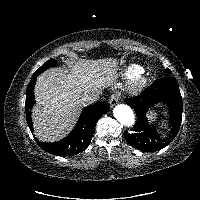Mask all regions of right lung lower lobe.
<instances>
[{"mask_svg": "<svg viewBox=\"0 0 200 200\" xmlns=\"http://www.w3.org/2000/svg\"><path fill=\"white\" fill-rule=\"evenodd\" d=\"M36 78H31L26 90L25 110L27 123L31 132H33L31 109L35 104L34 86ZM109 110L110 106L107 103L90 105L83 110L75 128L66 138L55 143H42L36 140L37 144L44 151L59 156H72L80 153L90 144L98 119Z\"/></svg>", "mask_w": 200, "mask_h": 200, "instance_id": "right-lung-lower-lobe-1", "label": "right lung lower lobe"}]
</instances>
